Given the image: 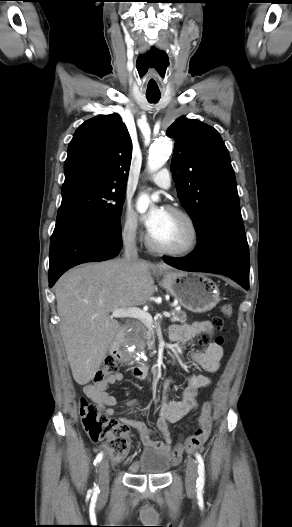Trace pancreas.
Returning a JSON list of instances; mask_svg holds the SVG:
<instances>
[{"label": "pancreas", "mask_w": 292, "mask_h": 527, "mask_svg": "<svg viewBox=\"0 0 292 527\" xmlns=\"http://www.w3.org/2000/svg\"><path fill=\"white\" fill-rule=\"evenodd\" d=\"M171 322L185 323L187 320V314L182 310H172ZM153 333L144 323L136 322L132 326L131 331L127 334L126 342L128 344H134L138 349L143 350L147 344L151 348V339Z\"/></svg>", "instance_id": "pancreas-1"}]
</instances>
